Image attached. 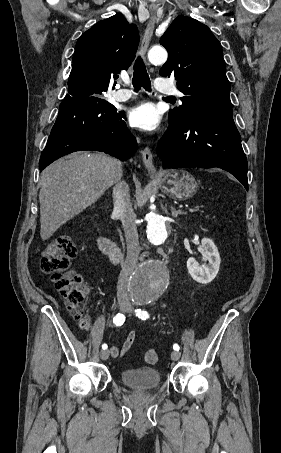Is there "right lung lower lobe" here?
<instances>
[{"label": "right lung lower lobe", "instance_id": "98d812e1", "mask_svg": "<svg viewBox=\"0 0 281 453\" xmlns=\"http://www.w3.org/2000/svg\"><path fill=\"white\" fill-rule=\"evenodd\" d=\"M122 112L101 98L64 99L39 162L42 171L56 159L79 150L130 158L137 149Z\"/></svg>", "mask_w": 281, "mask_h": 453}]
</instances>
